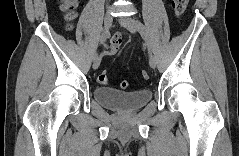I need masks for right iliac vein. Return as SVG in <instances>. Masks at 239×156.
<instances>
[{"label": "right iliac vein", "mask_w": 239, "mask_h": 156, "mask_svg": "<svg viewBox=\"0 0 239 156\" xmlns=\"http://www.w3.org/2000/svg\"><path fill=\"white\" fill-rule=\"evenodd\" d=\"M113 22V17L110 14V12H107L104 18V31L103 33H108L109 29L111 28ZM101 63V56H98L97 58L94 59L93 61V68L97 69Z\"/></svg>", "instance_id": "right-iliac-vein-1"}]
</instances>
